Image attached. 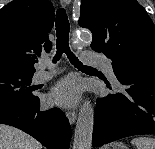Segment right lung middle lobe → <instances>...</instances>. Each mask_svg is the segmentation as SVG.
I'll return each mask as SVG.
<instances>
[{
    "label": "right lung middle lobe",
    "instance_id": "obj_1",
    "mask_svg": "<svg viewBox=\"0 0 155 149\" xmlns=\"http://www.w3.org/2000/svg\"><path fill=\"white\" fill-rule=\"evenodd\" d=\"M33 74L0 67V102L29 101L37 97L31 84Z\"/></svg>",
    "mask_w": 155,
    "mask_h": 149
}]
</instances>
